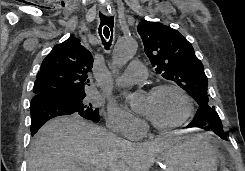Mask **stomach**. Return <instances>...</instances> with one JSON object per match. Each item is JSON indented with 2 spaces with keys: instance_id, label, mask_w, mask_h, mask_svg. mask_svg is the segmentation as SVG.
Here are the masks:
<instances>
[{
  "instance_id": "obj_1",
  "label": "stomach",
  "mask_w": 245,
  "mask_h": 171,
  "mask_svg": "<svg viewBox=\"0 0 245 171\" xmlns=\"http://www.w3.org/2000/svg\"><path fill=\"white\" fill-rule=\"evenodd\" d=\"M161 171H217L218 141L211 133L181 136L159 156Z\"/></svg>"
}]
</instances>
